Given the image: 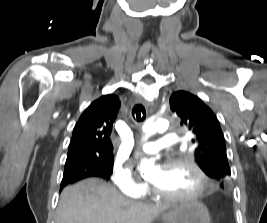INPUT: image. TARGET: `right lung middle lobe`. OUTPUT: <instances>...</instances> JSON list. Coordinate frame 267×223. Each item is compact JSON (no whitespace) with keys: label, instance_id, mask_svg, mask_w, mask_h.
I'll return each mask as SVG.
<instances>
[{"label":"right lung middle lobe","instance_id":"right-lung-middle-lobe-1","mask_svg":"<svg viewBox=\"0 0 267 223\" xmlns=\"http://www.w3.org/2000/svg\"><path fill=\"white\" fill-rule=\"evenodd\" d=\"M77 170L90 171L100 174L102 178L109 179L113 172V156L66 161L64 172Z\"/></svg>","mask_w":267,"mask_h":223}]
</instances>
